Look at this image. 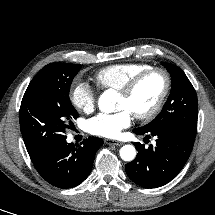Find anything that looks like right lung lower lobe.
<instances>
[{
  "instance_id": "98d812e1",
  "label": "right lung lower lobe",
  "mask_w": 215,
  "mask_h": 215,
  "mask_svg": "<svg viewBox=\"0 0 215 215\" xmlns=\"http://www.w3.org/2000/svg\"><path fill=\"white\" fill-rule=\"evenodd\" d=\"M102 144L101 138L89 137L74 145L67 143L65 137L31 160L47 182L59 188H72L87 178Z\"/></svg>"
}]
</instances>
